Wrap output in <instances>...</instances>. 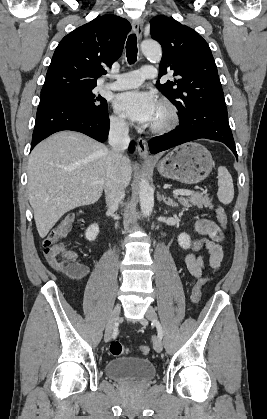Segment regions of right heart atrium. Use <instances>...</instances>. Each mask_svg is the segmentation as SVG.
<instances>
[{
	"label": "right heart atrium",
	"mask_w": 267,
	"mask_h": 419,
	"mask_svg": "<svg viewBox=\"0 0 267 419\" xmlns=\"http://www.w3.org/2000/svg\"><path fill=\"white\" fill-rule=\"evenodd\" d=\"M110 125L112 129L118 132H124L128 128L126 120L117 113H114L110 116Z\"/></svg>",
	"instance_id": "1"
}]
</instances>
